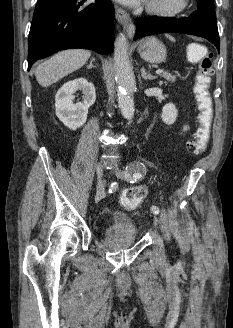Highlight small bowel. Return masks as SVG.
Wrapping results in <instances>:
<instances>
[{"mask_svg":"<svg viewBox=\"0 0 233 328\" xmlns=\"http://www.w3.org/2000/svg\"><path fill=\"white\" fill-rule=\"evenodd\" d=\"M188 130V126H184L182 132H186Z\"/></svg>","mask_w":233,"mask_h":328,"instance_id":"1","label":"small bowel"}]
</instances>
